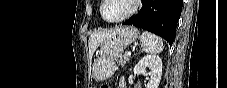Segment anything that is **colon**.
Returning <instances> with one entry per match:
<instances>
[{"label": "colon", "instance_id": "1", "mask_svg": "<svg viewBox=\"0 0 227 88\" xmlns=\"http://www.w3.org/2000/svg\"><path fill=\"white\" fill-rule=\"evenodd\" d=\"M100 88H109L108 86H106V85H103V86H101Z\"/></svg>", "mask_w": 227, "mask_h": 88}]
</instances>
